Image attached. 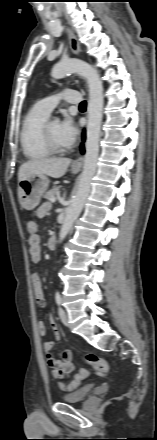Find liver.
I'll list each match as a JSON object with an SVG mask.
<instances>
[{"mask_svg": "<svg viewBox=\"0 0 157 440\" xmlns=\"http://www.w3.org/2000/svg\"><path fill=\"white\" fill-rule=\"evenodd\" d=\"M71 159L51 158V159H33L23 163L18 171V181L28 178L33 174H44L52 178L62 177L69 165Z\"/></svg>", "mask_w": 157, "mask_h": 440, "instance_id": "liver-1", "label": "liver"}]
</instances>
